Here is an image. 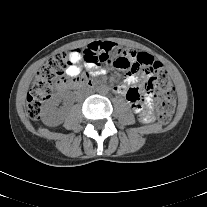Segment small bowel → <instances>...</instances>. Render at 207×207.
I'll use <instances>...</instances> for the list:
<instances>
[{"label":"small bowel","mask_w":207,"mask_h":207,"mask_svg":"<svg viewBox=\"0 0 207 207\" xmlns=\"http://www.w3.org/2000/svg\"><path fill=\"white\" fill-rule=\"evenodd\" d=\"M70 64L66 69V74L71 78H76L80 75L82 68L80 67L81 54L78 50H72L69 53ZM91 76H98L105 73L104 69H96L94 66L88 65ZM147 74L144 73V76ZM74 85V83H73ZM114 92L123 95L132 110L137 113L143 122H151L154 118L153 103L149 92L146 90V82L141 79L139 71L133 72L128 70V73L122 83L114 87Z\"/></svg>","instance_id":"1"}]
</instances>
